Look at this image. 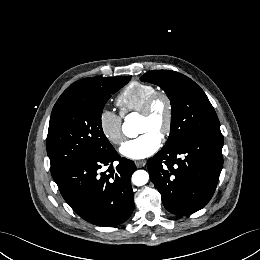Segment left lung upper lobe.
I'll list each match as a JSON object with an SVG mask.
<instances>
[{"instance_id": "1", "label": "left lung upper lobe", "mask_w": 260, "mask_h": 260, "mask_svg": "<svg viewBox=\"0 0 260 260\" xmlns=\"http://www.w3.org/2000/svg\"><path fill=\"white\" fill-rule=\"evenodd\" d=\"M160 86L171 101L169 138L164 147H173L206 132H220V123L204 91L190 78L174 71H150L141 78Z\"/></svg>"}]
</instances>
